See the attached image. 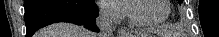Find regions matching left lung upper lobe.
<instances>
[{"label": "left lung upper lobe", "mask_w": 219, "mask_h": 37, "mask_svg": "<svg viewBox=\"0 0 219 37\" xmlns=\"http://www.w3.org/2000/svg\"><path fill=\"white\" fill-rule=\"evenodd\" d=\"M183 0H179V2L181 3Z\"/></svg>", "instance_id": "obj_1"}]
</instances>
